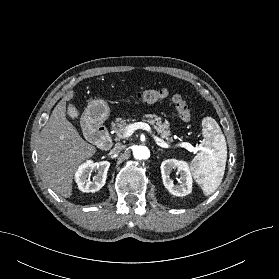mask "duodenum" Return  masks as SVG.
Here are the masks:
<instances>
[{"instance_id":"duodenum-1","label":"duodenum","mask_w":279,"mask_h":279,"mask_svg":"<svg viewBox=\"0 0 279 279\" xmlns=\"http://www.w3.org/2000/svg\"><path fill=\"white\" fill-rule=\"evenodd\" d=\"M86 135L102 150H109L112 146L111 136L103 125L88 124L86 126Z\"/></svg>"}]
</instances>
